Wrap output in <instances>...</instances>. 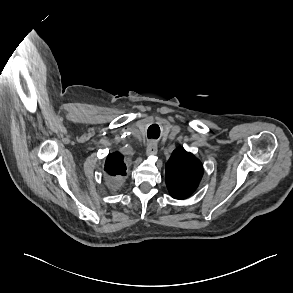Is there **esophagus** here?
<instances>
[{
  "label": "esophagus",
  "mask_w": 293,
  "mask_h": 293,
  "mask_svg": "<svg viewBox=\"0 0 293 293\" xmlns=\"http://www.w3.org/2000/svg\"><path fill=\"white\" fill-rule=\"evenodd\" d=\"M146 154L147 155H156L157 154V142L154 140H151L147 144L146 148Z\"/></svg>",
  "instance_id": "1"
}]
</instances>
